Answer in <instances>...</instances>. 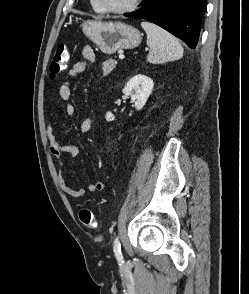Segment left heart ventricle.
<instances>
[{"instance_id": "obj_1", "label": "left heart ventricle", "mask_w": 249, "mask_h": 294, "mask_svg": "<svg viewBox=\"0 0 249 294\" xmlns=\"http://www.w3.org/2000/svg\"><path fill=\"white\" fill-rule=\"evenodd\" d=\"M104 6L120 8L128 4L131 0H100Z\"/></svg>"}]
</instances>
